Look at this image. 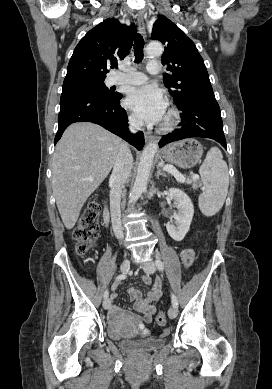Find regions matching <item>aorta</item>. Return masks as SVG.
<instances>
[{
  "label": "aorta",
  "instance_id": "1",
  "mask_svg": "<svg viewBox=\"0 0 272 389\" xmlns=\"http://www.w3.org/2000/svg\"><path fill=\"white\" fill-rule=\"evenodd\" d=\"M145 52L150 57H158L163 53L162 44L151 42L146 46ZM158 149L157 142H151L143 149L137 168V175L130 193V202L137 201L147 188L150 170Z\"/></svg>",
  "mask_w": 272,
  "mask_h": 389
}]
</instances>
